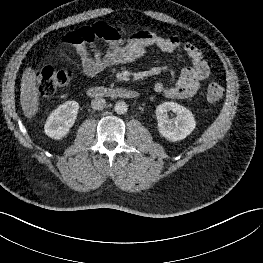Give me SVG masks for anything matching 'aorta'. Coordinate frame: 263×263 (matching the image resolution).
Wrapping results in <instances>:
<instances>
[{"mask_svg": "<svg viewBox=\"0 0 263 263\" xmlns=\"http://www.w3.org/2000/svg\"><path fill=\"white\" fill-rule=\"evenodd\" d=\"M114 110H115V112H116L117 114L122 115V114H125V113L127 112L128 106H127V104H126L125 102L119 101V102H117V103L115 104Z\"/></svg>", "mask_w": 263, "mask_h": 263, "instance_id": "762f6f07", "label": "aorta"}]
</instances>
